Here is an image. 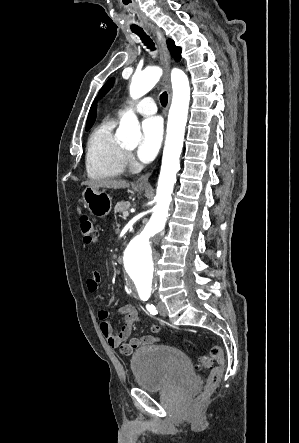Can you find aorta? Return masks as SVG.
I'll return each mask as SVG.
<instances>
[{
    "label": "aorta",
    "instance_id": "obj_1",
    "mask_svg": "<svg viewBox=\"0 0 299 443\" xmlns=\"http://www.w3.org/2000/svg\"><path fill=\"white\" fill-rule=\"evenodd\" d=\"M162 76V69L150 67L135 74L130 84V96L138 99L148 93ZM173 89L169 110L167 135L156 191V205L149 222L131 239L124 253V268L131 280L132 294L141 300L151 298L155 287V254L151 242L165 227L176 174L180 170V155L183 148L187 123L190 86L187 75L180 69L171 71ZM116 137L129 144H137L141 131L136 115L129 111L120 121Z\"/></svg>",
    "mask_w": 299,
    "mask_h": 443
}]
</instances>
